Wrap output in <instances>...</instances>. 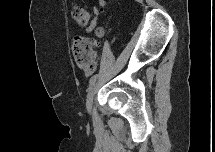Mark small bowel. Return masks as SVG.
<instances>
[{"label": "small bowel", "instance_id": "1", "mask_svg": "<svg viewBox=\"0 0 215 152\" xmlns=\"http://www.w3.org/2000/svg\"><path fill=\"white\" fill-rule=\"evenodd\" d=\"M94 13L97 15L98 14V10L95 8L94 9ZM96 24H97V17H95L91 23L88 25L87 27V31L90 32L92 31L95 27H96Z\"/></svg>", "mask_w": 215, "mask_h": 152}]
</instances>
